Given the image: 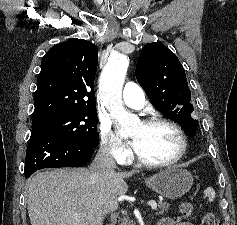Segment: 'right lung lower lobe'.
<instances>
[{
    "label": "right lung lower lobe",
    "instance_id": "obj_1",
    "mask_svg": "<svg viewBox=\"0 0 237 225\" xmlns=\"http://www.w3.org/2000/svg\"><path fill=\"white\" fill-rule=\"evenodd\" d=\"M96 147L45 132H32L26 152L24 174L49 167H74L86 164Z\"/></svg>",
    "mask_w": 237,
    "mask_h": 225
}]
</instances>
